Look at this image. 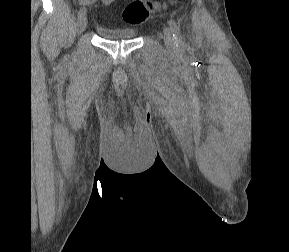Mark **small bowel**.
<instances>
[{
  "label": "small bowel",
  "instance_id": "c3829d8e",
  "mask_svg": "<svg viewBox=\"0 0 289 252\" xmlns=\"http://www.w3.org/2000/svg\"><path fill=\"white\" fill-rule=\"evenodd\" d=\"M114 1L115 0H78V4L80 6H83V8L90 7L98 3H100L102 6L107 7L111 5Z\"/></svg>",
  "mask_w": 289,
  "mask_h": 252
}]
</instances>
